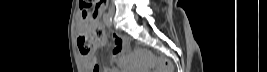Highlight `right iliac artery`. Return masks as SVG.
Listing matches in <instances>:
<instances>
[{
    "mask_svg": "<svg viewBox=\"0 0 267 72\" xmlns=\"http://www.w3.org/2000/svg\"><path fill=\"white\" fill-rule=\"evenodd\" d=\"M103 18H104L105 24L108 27H111V25H112V18L110 17V15L109 14H105Z\"/></svg>",
    "mask_w": 267,
    "mask_h": 72,
    "instance_id": "82829eb1",
    "label": "right iliac artery"
}]
</instances>
